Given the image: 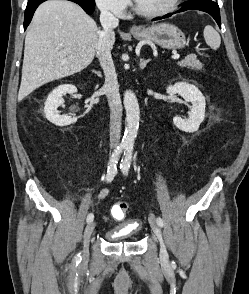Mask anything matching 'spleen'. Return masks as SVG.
<instances>
[{
    "label": "spleen",
    "mask_w": 249,
    "mask_h": 294,
    "mask_svg": "<svg viewBox=\"0 0 249 294\" xmlns=\"http://www.w3.org/2000/svg\"><path fill=\"white\" fill-rule=\"evenodd\" d=\"M203 34L207 45H209L212 49L216 50L220 47V35L212 26L207 25L204 28Z\"/></svg>",
    "instance_id": "1"
}]
</instances>
